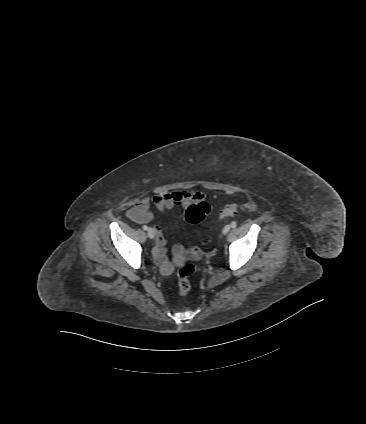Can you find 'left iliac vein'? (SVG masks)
Masks as SVG:
<instances>
[{"label":"left iliac vein","mask_w":366,"mask_h":424,"mask_svg":"<svg viewBox=\"0 0 366 424\" xmlns=\"http://www.w3.org/2000/svg\"><path fill=\"white\" fill-rule=\"evenodd\" d=\"M229 231H230V225H226L222 230L224 235H226Z\"/></svg>","instance_id":"1"}]
</instances>
